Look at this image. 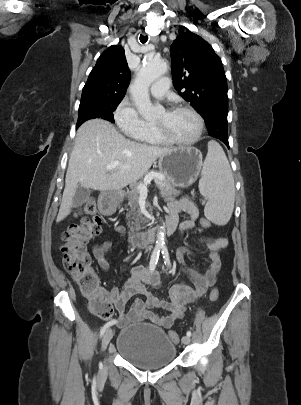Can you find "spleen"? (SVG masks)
I'll return each instance as SVG.
<instances>
[{"instance_id":"1","label":"spleen","mask_w":301,"mask_h":405,"mask_svg":"<svg viewBox=\"0 0 301 405\" xmlns=\"http://www.w3.org/2000/svg\"><path fill=\"white\" fill-rule=\"evenodd\" d=\"M199 189L208 199L206 217L218 225L227 224L234 209V179L225 152L213 140L208 143Z\"/></svg>"}]
</instances>
